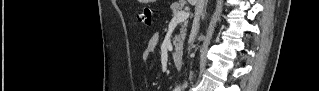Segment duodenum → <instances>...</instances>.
<instances>
[{"mask_svg": "<svg viewBox=\"0 0 319 91\" xmlns=\"http://www.w3.org/2000/svg\"><path fill=\"white\" fill-rule=\"evenodd\" d=\"M172 56H173V60H174V62L176 64V66L178 68H181L182 63H183V53H182V51H174Z\"/></svg>", "mask_w": 319, "mask_h": 91, "instance_id": "1", "label": "duodenum"}]
</instances>
